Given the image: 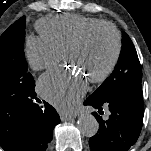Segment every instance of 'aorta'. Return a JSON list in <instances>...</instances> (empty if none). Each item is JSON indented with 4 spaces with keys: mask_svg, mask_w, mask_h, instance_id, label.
Wrapping results in <instances>:
<instances>
[{
    "mask_svg": "<svg viewBox=\"0 0 151 151\" xmlns=\"http://www.w3.org/2000/svg\"><path fill=\"white\" fill-rule=\"evenodd\" d=\"M78 127L83 136L92 137L97 134L99 124L93 115L83 114L78 119Z\"/></svg>",
    "mask_w": 151,
    "mask_h": 151,
    "instance_id": "obj_1",
    "label": "aorta"
}]
</instances>
